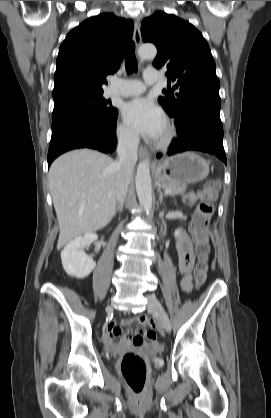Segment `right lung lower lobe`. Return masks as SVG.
<instances>
[{"label":"right lung lower lobe","mask_w":271,"mask_h":418,"mask_svg":"<svg viewBox=\"0 0 271 418\" xmlns=\"http://www.w3.org/2000/svg\"><path fill=\"white\" fill-rule=\"evenodd\" d=\"M114 116H85L68 119L52 125V137L48 151V167L60 154L77 148H92L112 152L115 147Z\"/></svg>","instance_id":"98d812e1"}]
</instances>
